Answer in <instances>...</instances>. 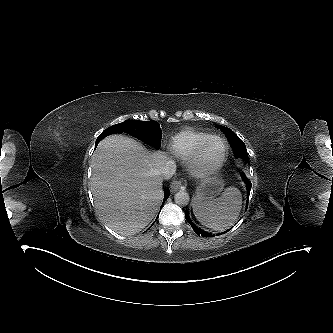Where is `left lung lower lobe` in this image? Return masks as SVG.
<instances>
[{"label": "left lung lower lobe", "instance_id": "1", "mask_svg": "<svg viewBox=\"0 0 333 333\" xmlns=\"http://www.w3.org/2000/svg\"><path fill=\"white\" fill-rule=\"evenodd\" d=\"M242 178L244 179L246 186H247V195L249 197L250 194V190H251V182L245 177V174H242ZM185 219L188 221V223L192 226L194 232L198 235V236H202V237H212L213 235L203 231L202 229L198 228L190 219L189 217V213H185ZM228 231V230H227ZM225 231V232H227ZM223 232V233H225ZM221 233V234H223Z\"/></svg>", "mask_w": 333, "mask_h": 333}]
</instances>
